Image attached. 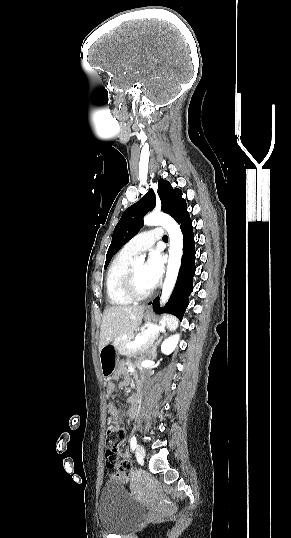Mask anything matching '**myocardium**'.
Listing matches in <instances>:
<instances>
[{
	"label": "myocardium",
	"mask_w": 291,
	"mask_h": 538,
	"mask_svg": "<svg viewBox=\"0 0 291 538\" xmlns=\"http://www.w3.org/2000/svg\"><path fill=\"white\" fill-rule=\"evenodd\" d=\"M123 288L127 296L132 300L140 301L149 298L153 293V288L146 292L139 291L134 275L133 266H130L123 279Z\"/></svg>",
	"instance_id": "obj_1"
}]
</instances>
